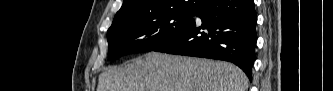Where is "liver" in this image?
<instances>
[{
    "label": "liver",
    "mask_w": 333,
    "mask_h": 91,
    "mask_svg": "<svg viewBox=\"0 0 333 91\" xmlns=\"http://www.w3.org/2000/svg\"><path fill=\"white\" fill-rule=\"evenodd\" d=\"M248 82L227 62L149 52L102 72L97 91H246Z\"/></svg>",
    "instance_id": "liver-1"
}]
</instances>
